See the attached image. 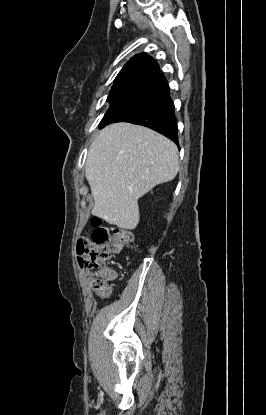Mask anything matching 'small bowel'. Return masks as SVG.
Segmentation results:
<instances>
[{
  "instance_id": "small-bowel-1",
  "label": "small bowel",
  "mask_w": 266,
  "mask_h": 415,
  "mask_svg": "<svg viewBox=\"0 0 266 415\" xmlns=\"http://www.w3.org/2000/svg\"><path fill=\"white\" fill-rule=\"evenodd\" d=\"M108 270H109V273H110V277H111V278H114V277H115V275H116L115 271H114V270H112V269H108Z\"/></svg>"
}]
</instances>
